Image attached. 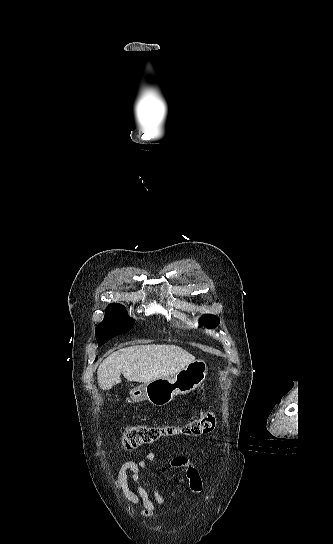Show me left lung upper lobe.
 <instances>
[{"label":"left lung upper lobe","instance_id":"5c2ea615","mask_svg":"<svg viewBox=\"0 0 333 544\" xmlns=\"http://www.w3.org/2000/svg\"><path fill=\"white\" fill-rule=\"evenodd\" d=\"M219 324V319L214 315H203L199 321V327L206 325L208 328H214Z\"/></svg>","mask_w":333,"mask_h":544}]
</instances>
